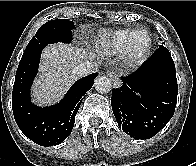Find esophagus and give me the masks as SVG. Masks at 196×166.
<instances>
[{
  "label": "esophagus",
  "instance_id": "esophagus-1",
  "mask_svg": "<svg viewBox=\"0 0 196 166\" xmlns=\"http://www.w3.org/2000/svg\"><path fill=\"white\" fill-rule=\"evenodd\" d=\"M107 74L112 78L113 83H114V86H115L116 88H119V87L121 86V81H120V79H119L117 76H115V75L113 74V72H111L110 70H107Z\"/></svg>",
  "mask_w": 196,
  "mask_h": 166
}]
</instances>
